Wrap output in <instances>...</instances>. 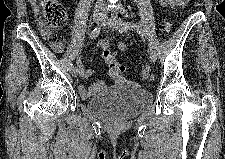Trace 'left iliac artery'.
<instances>
[{"mask_svg": "<svg viewBox=\"0 0 225 159\" xmlns=\"http://www.w3.org/2000/svg\"><path fill=\"white\" fill-rule=\"evenodd\" d=\"M128 25L131 27L132 30H136L139 34L142 35L141 40L144 41L147 44V47L150 49L152 48V44L148 40V34L147 31L142 29V26L140 24L134 23V22H127Z\"/></svg>", "mask_w": 225, "mask_h": 159, "instance_id": "left-iliac-artery-1", "label": "left iliac artery"}]
</instances>
